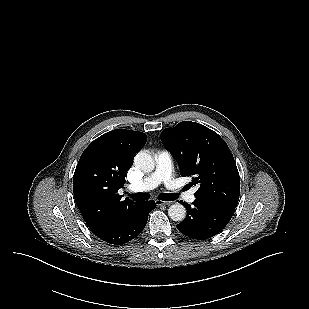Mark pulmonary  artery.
Instances as JSON below:
<instances>
[{
    "mask_svg": "<svg viewBox=\"0 0 309 309\" xmlns=\"http://www.w3.org/2000/svg\"><path fill=\"white\" fill-rule=\"evenodd\" d=\"M163 183L167 188H174V181L172 177V156L169 152L162 150L157 153L156 167L153 172L148 174L141 181L133 184L131 189L137 192H145L156 188ZM184 199L188 202L195 201V189L184 193Z\"/></svg>",
    "mask_w": 309,
    "mask_h": 309,
    "instance_id": "1",
    "label": "pulmonary artery"
}]
</instances>
